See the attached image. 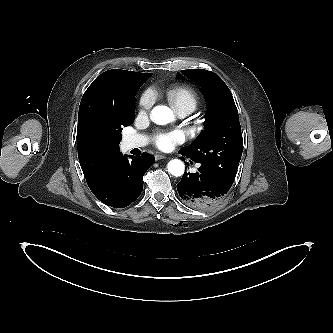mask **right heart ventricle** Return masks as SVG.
Wrapping results in <instances>:
<instances>
[{
	"label": "right heart ventricle",
	"instance_id": "obj_1",
	"mask_svg": "<svg viewBox=\"0 0 333 333\" xmlns=\"http://www.w3.org/2000/svg\"><path fill=\"white\" fill-rule=\"evenodd\" d=\"M167 97L177 112L182 110L193 112L199 104V96L197 92L186 85H180L169 89L167 91Z\"/></svg>",
	"mask_w": 333,
	"mask_h": 333
}]
</instances>
